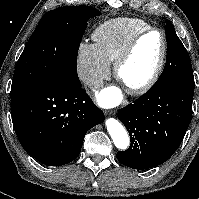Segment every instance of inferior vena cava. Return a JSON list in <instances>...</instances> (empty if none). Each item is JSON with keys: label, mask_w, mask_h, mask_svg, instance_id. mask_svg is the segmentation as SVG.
<instances>
[{"label": "inferior vena cava", "mask_w": 199, "mask_h": 199, "mask_svg": "<svg viewBox=\"0 0 199 199\" xmlns=\"http://www.w3.org/2000/svg\"><path fill=\"white\" fill-rule=\"evenodd\" d=\"M85 82L92 89H98L103 86V80L97 77H88Z\"/></svg>", "instance_id": "1"}]
</instances>
